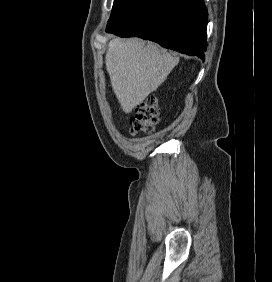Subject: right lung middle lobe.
Returning a JSON list of instances; mask_svg holds the SVG:
<instances>
[{"mask_svg":"<svg viewBox=\"0 0 272 282\" xmlns=\"http://www.w3.org/2000/svg\"><path fill=\"white\" fill-rule=\"evenodd\" d=\"M138 0H115L107 26L118 20L126 13Z\"/></svg>","mask_w":272,"mask_h":282,"instance_id":"1","label":"right lung middle lobe"}]
</instances>
